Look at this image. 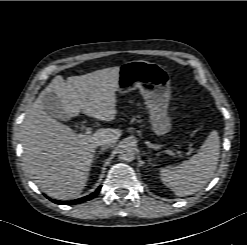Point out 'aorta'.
Wrapping results in <instances>:
<instances>
[{
    "instance_id": "aorta-1",
    "label": "aorta",
    "mask_w": 247,
    "mask_h": 245,
    "mask_svg": "<svg viewBox=\"0 0 247 245\" xmlns=\"http://www.w3.org/2000/svg\"><path fill=\"white\" fill-rule=\"evenodd\" d=\"M135 154L134 147L125 144L120 147L118 157L121 161L132 162L135 159Z\"/></svg>"
}]
</instances>
